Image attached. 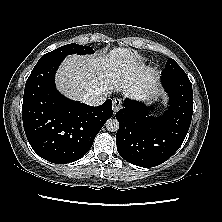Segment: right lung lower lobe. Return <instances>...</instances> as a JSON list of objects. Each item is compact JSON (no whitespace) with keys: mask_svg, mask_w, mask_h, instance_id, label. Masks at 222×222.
<instances>
[{"mask_svg":"<svg viewBox=\"0 0 222 222\" xmlns=\"http://www.w3.org/2000/svg\"><path fill=\"white\" fill-rule=\"evenodd\" d=\"M63 59L38 62L26 81L22 117L26 137L45 160L65 164L83 157L95 136L113 115L112 100L93 107L74 102L55 87V73Z\"/></svg>","mask_w":222,"mask_h":222,"instance_id":"right-lung-lower-lobe-1","label":"right lung lower lobe"}]
</instances>
